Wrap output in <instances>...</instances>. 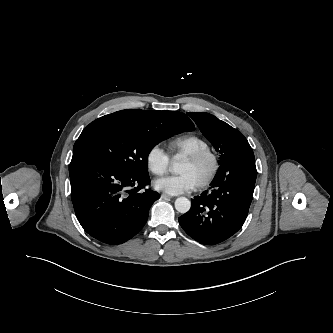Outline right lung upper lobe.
Segmentation results:
<instances>
[{
  "instance_id": "right-lung-upper-lobe-1",
  "label": "right lung upper lobe",
  "mask_w": 333,
  "mask_h": 333,
  "mask_svg": "<svg viewBox=\"0 0 333 333\" xmlns=\"http://www.w3.org/2000/svg\"><path fill=\"white\" fill-rule=\"evenodd\" d=\"M97 120L128 122L149 129L179 128L182 131H192L195 128L192 121L184 113L177 111L128 109L105 115Z\"/></svg>"
}]
</instances>
